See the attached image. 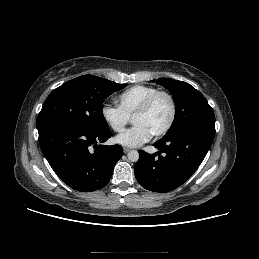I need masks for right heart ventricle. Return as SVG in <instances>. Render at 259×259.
I'll return each instance as SVG.
<instances>
[{
  "label": "right heart ventricle",
  "instance_id": "obj_1",
  "mask_svg": "<svg viewBox=\"0 0 259 259\" xmlns=\"http://www.w3.org/2000/svg\"><path fill=\"white\" fill-rule=\"evenodd\" d=\"M157 91H159L158 88L150 85L132 86L117 96L118 107L130 118L143 102Z\"/></svg>",
  "mask_w": 259,
  "mask_h": 259
}]
</instances>
